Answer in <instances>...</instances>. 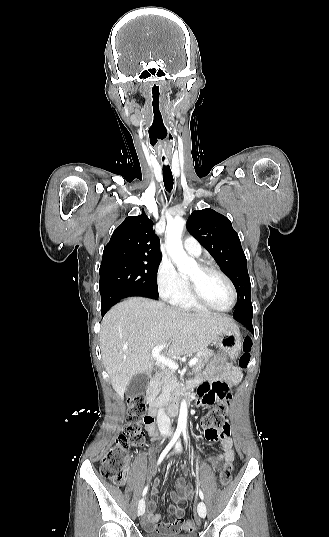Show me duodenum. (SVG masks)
<instances>
[{"label": "duodenum", "instance_id": "duodenum-1", "mask_svg": "<svg viewBox=\"0 0 329 537\" xmlns=\"http://www.w3.org/2000/svg\"><path fill=\"white\" fill-rule=\"evenodd\" d=\"M182 396L184 398L188 399L190 397V393L187 390H185L182 393ZM160 405H161V403L158 400H155V399L150 400V403H149V415L151 417L154 418L157 415ZM177 407H178L177 404H170L168 406L169 413L172 414V415L176 414Z\"/></svg>", "mask_w": 329, "mask_h": 537}]
</instances>
